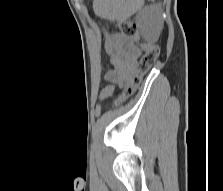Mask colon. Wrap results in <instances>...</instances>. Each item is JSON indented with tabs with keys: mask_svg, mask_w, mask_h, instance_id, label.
Instances as JSON below:
<instances>
[{
	"mask_svg": "<svg viewBox=\"0 0 223 191\" xmlns=\"http://www.w3.org/2000/svg\"><path fill=\"white\" fill-rule=\"evenodd\" d=\"M119 28L125 37L135 42L141 48L143 57L137 64V74L132 78L131 84L126 87L122 96L116 101V105L120 104L140 85L142 77L151 69L159 56V48L156 45L140 41V34L134 23L121 21ZM103 66H106V63H103Z\"/></svg>",
	"mask_w": 223,
	"mask_h": 191,
	"instance_id": "obj_1",
	"label": "colon"
}]
</instances>
